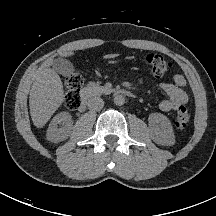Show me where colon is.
Listing matches in <instances>:
<instances>
[{
	"mask_svg": "<svg viewBox=\"0 0 216 216\" xmlns=\"http://www.w3.org/2000/svg\"><path fill=\"white\" fill-rule=\"evenodd\" d=\"M146 65L152 74L162 77L170 72L172 69V63L164 58L163 56L150 53L145 57ZM83 85V80L81 76L77 73H70L64 78L65 87V99L64 103L67 109L75 110L80 106L81 96L80 90ZM190 121V114L188 110L181 106L177 110L175 117V127L179 130L185 129Z\"/></svg>",
	"mask_w": 216,
	"mask_h": 216,
	"instance_id": "1",
	"label": "colon"
}]
</instances>
